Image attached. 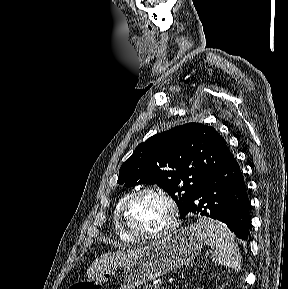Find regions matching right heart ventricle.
I'll return each mask as SVG.
<instances>
[{
	"label": "right heart ventricle",
	"instance_id": "right-heart-ventricle-1",
	"mask_svg": "<svg viewBox=\"0 0 288 289\" xmlns=\"http://www.w3.org/2000/svg\"><path fill=\"white\" fill-rule=\"evenodd\" d=\"M130 194H131L130 192L123 194L116 202V204L113 208V212H112V223H113V228H114L115 234L121 241H123L125 243H134L136 241V239L131 238L129 235H127L122 230V228L119 225V221H118L119 208Z\"/></svg>",
	"mask_w": 288,
	"mask_h": 289
}]
</instances>
